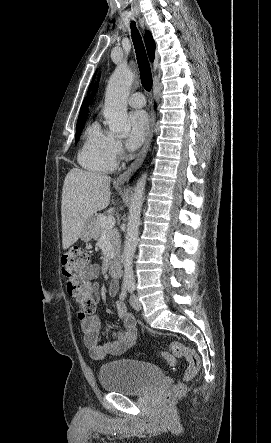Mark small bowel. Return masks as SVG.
Masks as SVG:
<instances>
[{
	"instance_id": "obj_1",
	"label": "small bowel",
	"mask_w": 271,
	"mask_h": 443,
	"mask_svg": "<svg viewBox=\"0 0 271 443\" xmlns=\"http://www.w3.org/2000/svg\"><path fill=\"white\" fill-rule=\"evenodd\" d=\"M84 274L90 281L96 280L100 276V267L97 264H91L85 269ZM92 285L95 302L97 304L99 287L97 283ZM117 292L118 285L114 283L110 286L109 293L111 296H116ZM116 308L118 316L123 322L124 329L121 332H113L105 341L101 340V323L95 315V312L93 314H87L82 309L79 313L84 342L93 359L102 360L107 356L123 354L132 347L136 341L137 327L134 317L126 310L122 303L117 302Z\"/></svg>"
}]
</instances>
